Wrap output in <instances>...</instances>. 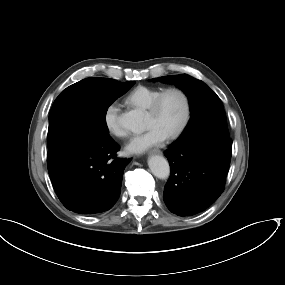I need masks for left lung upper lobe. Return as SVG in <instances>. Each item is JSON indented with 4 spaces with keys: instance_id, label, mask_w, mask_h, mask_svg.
Returning a JSON list of instances; mask_svg holds the SVG:
<instances>
[{
    "instance_id": "5c2ea615",
    "label": "left lung upper lobe",
    "mask_w": 285,
    "mask_h": 285,
    "mask_svg": "<svg viewBox=\"0 0 285 285\" xmlns=\"http://www.w3.org/2000/svg\"><path fill=\"white\" fill-rule=\"evenodd\" d=\"M163 83L180 87L188 96L191 118L182 135L171 145H181L210 135L229 137L223 104L203 81L187 74L154 78Z\"/></svg>"
}]
</instances>
